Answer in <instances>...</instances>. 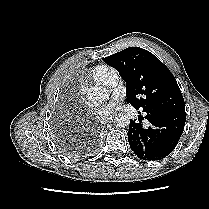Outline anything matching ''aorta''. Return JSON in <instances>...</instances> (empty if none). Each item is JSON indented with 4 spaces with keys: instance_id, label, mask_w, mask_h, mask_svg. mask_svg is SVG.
<instances>
[{
    "instance_id": "aorta-1",
    "label": "aorta",
    "mask_w": 209,
    "mask_h": 209,
    "mask_svg": "<svg viewBox=\"0 0 209 209\" xmlns=\"http://www.w3.org/2000/svg\"><path fill=\"white\" fill-rule=\"evenodd\" d=\"M88 99L93 103H104L108 97L109 92L105 87L93 86L87 91ZM114 123L117 127H127L130 123V118L127 114L120 113L114 118Z\"/></svg>"
}]
</instances>
